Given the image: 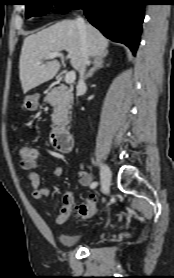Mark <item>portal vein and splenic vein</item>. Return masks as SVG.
Here are the masks:
<instances>
[{
  "instance_id": "portal-vein-and-splenic-vein-1",
  "label": "portal vein and splenic vein",
  "mask_w": 174,
  "mask_h": 278,
  "mask_svg": "<svg viewBox=\"0 0 174 278\" xmlns=\"http://www.w3.org/2000/svg\"><path fill=\"white\" fill-rule=\"evenodd\" d=\"M57 57H60L62 60H64V56L62 53L60 52H53V53H50L48 54V56L46 57V59H54V58H57ZM76 78V73L75 71H70L68 72L66 75H65V82L67 84H71L74 82Z\"/></svg>"
}]
</instances>
